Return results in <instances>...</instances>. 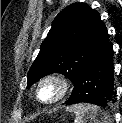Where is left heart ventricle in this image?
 Masks as SVG:
<instances>
[{"mask_svg":"<svg viewBox=\"0 0 122 123\" xmlns=\"http://www.w3.org/2000/svg\"><path fill=\"white\" fill-rule=\"evenodd\" d=\"M59 88L56 83L48 82L44 84L40 91L43 100H51L58 94Z\"/></svg>","mask_w":122,"mask_h":123,"instance_id":"left-heart-ventricle-1","label":"left heart ventricle"}]
</instances>
